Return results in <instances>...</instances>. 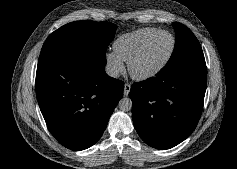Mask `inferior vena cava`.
Returning a JSON list of instances; mask_svg holds the SVG:
<instances>
[{
	"label": "inferior vena cava",
	"instance_id": "602c4592",
	"mask_svg": "<svg viewBox=\"0 0 237 169\" xmlns=\"http://www.w3.org/2000/svg\"><path fill=\"white\" fill-rule=\"evenodd\" d=\"M105 72L110 77H113V78L119 77V70L116 67L112 66V65H109V64L106 65L105 66Z\"/></svg>",
	"mask_w": 237,
	"mask_h": 169
}]
</instances>
